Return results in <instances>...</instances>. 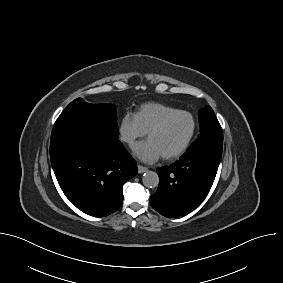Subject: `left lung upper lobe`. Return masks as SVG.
<instances>
[{
    "instance_id": "1",
    "label": "left lung upper lobe",
    "mask_w": 283,
    "mask_h": 283,
    "mask_svg": "<svg viewBox=\"0 0 283 283\" xmlns=\"http://www.w3.org/2000/svg\"><path fill=\"white\" fill-rule=\"evenodd\" d=\"M200 134L187 151L205 148L222 154L223 132L213 109L210 106L202 108L198 112Z\"/></svg>"
}]
</instances>
